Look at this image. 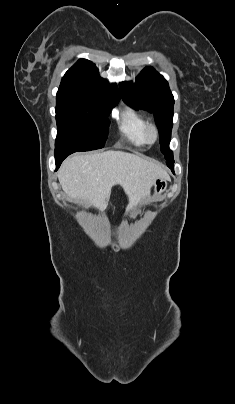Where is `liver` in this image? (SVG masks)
Wrapping results in <instances>:
<instances>
[{
  "label": "liver",
  "mask_w": 235,
  "mask_h": 404,
  "mask_svg": "<svg viewBox=\"0 0 235 404\" xmlns=\"http://www.w3.org/2000/svg\"><path fill=\"white\" fill-rule=\"evenodd\" d=\"M59 183L72 200L103 211L111 189L120 185L129 199L127 210L145 201L156 179L169 180L159 165L122 151L74 155L58 171Z\"/></svg>",
  "instance_id": "liver-1"
}]
</instances>
